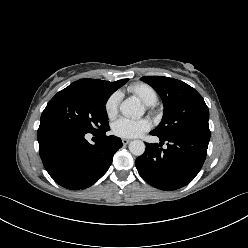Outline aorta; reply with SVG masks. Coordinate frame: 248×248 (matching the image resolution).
<instances>
[{
  "instance_id": "aorta-1",
  "label": "aorta",
  "mask_w": 248,
  "mask_h": 248,
  "mask_svg": "<svg viewBox=\"0 0 248 248\" xmlns=\"http://www.w3.org/2000/svg\"><path fill=\"white\" fill-rule=\"evenodd\" d=\"M120 111L126 117H140L143 114V107L137 98L129 97L121 103ZM145 148L146 146L141 140H133L129 144V151L135 156L142 155Z\"/></svg>"
}]
</instances>
